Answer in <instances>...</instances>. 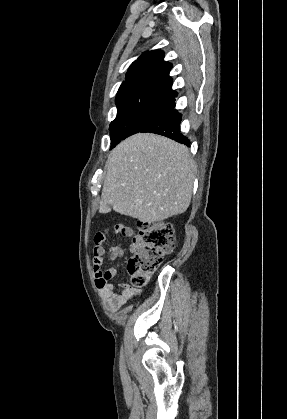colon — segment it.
<instances>
[{
  "label": "colon",
  "instance_id": "1",
  "mask_svg": "<svg viewBox=\"0 0 287 419\" xmlns=\"http://www.w3.org/2000/svg\"><path fill=\"white\" fill-rule=\"evenodd\" d=\"M96 241L107 242L108 231L99 233ZM174 246V230L170 224L140 222L127 265L133 285L137 288L145 286L149 276L160 267L164 256L172 252Z\"/></svg>",
  "mask_w": 287,
  "mask_h": 419
}]
</instances>
